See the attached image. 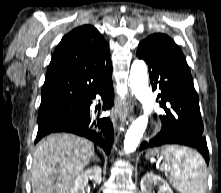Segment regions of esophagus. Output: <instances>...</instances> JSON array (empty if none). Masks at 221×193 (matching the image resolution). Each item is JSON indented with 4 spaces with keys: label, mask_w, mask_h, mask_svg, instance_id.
Segmentation results:
<instances>
[{
    "label": "esophagus",
    "mask_w": 221,
    "mask_h": 193,
    "mask_svg": "<svg viewBox=\"0 0 221 193\" xmlns=\"http://www.w3.org/2000/svg\"><path fill=\"white\" fill-rule=\"evenodd\" d=\"M134 103H135L134 97H130L129 101H128L127 97H124L123 101H119V104H130V105H124V108H129L128 110H129V120L130 121H133L135 118V115L133 113ZM121 108H122V105H118V104H116L114 107V112L112 114V121H113L114 125H117L116 123H117L118 115L121 112ZM118 125H124V124H118Z\"/></svg>",
    "instance_id": "34e87169"
}]
</instances>
